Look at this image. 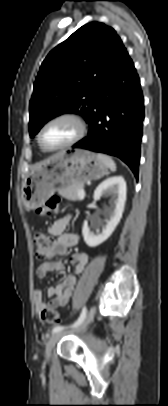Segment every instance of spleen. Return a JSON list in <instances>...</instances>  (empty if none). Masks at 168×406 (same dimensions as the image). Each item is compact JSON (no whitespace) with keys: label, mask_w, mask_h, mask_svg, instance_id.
Here are the masks:
<instances>
[{"label":"spleen","mask_w":168,"mask_h":406,"mask_svg":"<svg viewBox=\"0 0 168 406\" xmlns=\"http://www.w3.org/2000/svg\"><path fill=\"white\" fill-rule=\"evenodd\" d=\"M98 157L101 161H103L107 165V167L111 171L113 172L116 171V164L109 156L99 153Z\"/></svg>","instance_id":"obj_1"}]
</instances>
